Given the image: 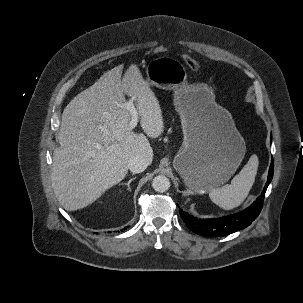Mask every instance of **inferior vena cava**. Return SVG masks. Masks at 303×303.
Here are the masks:
<instances>
[{
  "label": "inferior vena cava",
  "instance_id": "obj_1",
  "mask_svg": "<svg viewBox=\"0 0 303 303\" xmlns=\"http://www.w3.org/2000/svg\"><path fill=\"white\" fill-rule=\"evenodd\" d=\"M128 169L133 173H140L143 172L147 166L149 165L148 159L144 158L143 156L137 155L131 157L128 160Z\"/></svg>",
  "mask_w": 303,
  "mask_h": 303
}]
</instances>
